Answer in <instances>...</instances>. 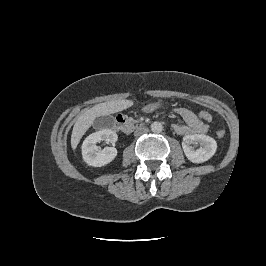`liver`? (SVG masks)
<instances>
[{"label": "liver", "instance_id": "6515ba94", "mask_svg": "<svg viewBox=\"0 0 266 266\" xmlns=\"http://www.w3.org/2000/svg\"><path fill=\"white\" fill-rule=\"evenodd\" d=\"M131 100H115L97 104L90 109H85L77 118L71 135V147L75 150L80 139L99 116H108L123 111L133 106Z\"/></svg>", "mask_w": 266, "mask_h": 266}]
</instances>
